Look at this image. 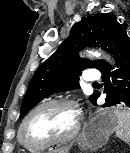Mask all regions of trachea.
I'll list each match as a JSON object with an SVG mask.
<instances>
[{"instance_id":"obj_1","label":"trachea","mask_w":130,"mask_h":153,"mask_svg":"<svg viewBox=\"0 0 130 153\" xmlns=\"http://www.w3.org/2000/svg\"><path fill=\"white\" fill-rule=\"evenodd\" d=\"M93 85H98V82L93 83Z\"/></svg>"}]
</instances>
